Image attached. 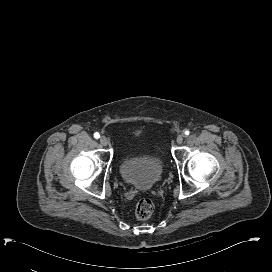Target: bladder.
I'll return each instance as SVG.
<instances>
[{
  "mask_svg": "<svg viewBox=\"0 0 272 272\" xmlns=\"http://www.w3.org/2000/svg\"><path fill=\"white\" fill-rule=\"evenodd\" d=\"M123 180L136 188H152L162 177V161L150 155H140L124 159L119 163Z\"/></svg>",
  "mask_w": 272,
  "mask_h": 272,
  "instance_id": "obj_1",
  "label": "bladder"
}]
</instances>
